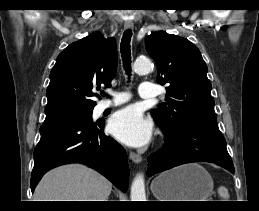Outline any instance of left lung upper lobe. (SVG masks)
<instances>
[{
	"instance_id": "5c2ea615",
	"label": "left lung upper lobe",
	"mask_w": 259,
	"mask_h": 211,
	"mask_svg": "<svg viewBox=\"0 0 259 211\" xmlns=\"http://www.w3.org/2000/svg\"><path fill=\"white\" fill-rule=\"evenodd\" d=\"M146 50L157 64V82L168 84L166 103L151 114L166 134L187 123L217 127L211 83L199 49L185 38L157 31L146 37Z\"/></svg>"
}]
</instances>
